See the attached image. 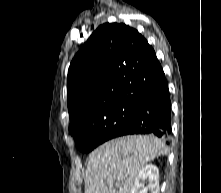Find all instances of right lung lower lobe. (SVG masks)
I'll use <instances>...</instances> for the list:
<instances>
[{
  "mask_svg": "<svg viewBox=\"0 0 221 193\" xmlns=\"http://www.w3.org/2000/svg\"><path fill=\"white\" fill-rule=\"evenodd\" d=\"M128 134H154L169 140L171 134V101L163 70L140 99V109L115 137Z\"/></svg>",
  "mask_w": 221,
  "mask_h": 193,
  "instance_id": "1",
  "label": "right lung lower lobe"
}]
</instances>
